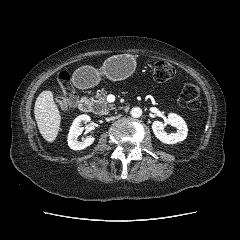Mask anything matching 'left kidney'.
I'll use <instances>...</instances> for the list:
<instances>
[{"label": "left kidney", "mask_w": 240, "mask_h": 240, "mask_svg": "<svg viewBox=\"0 0 240 240\" xmlns=\"http://www.w3.org/2000/svg\"><path fill=\"white\" fill-rule=\"evenodd\" d=\"M167 122L177 128L176 133L166 134L164 129V123L161 121H154L152 123V130L155 136L163 143L175 144L181 142L187 137V125L182 117L175 113L168 114Z\"/></svg>", "instance_id": "1"}]
</instances>
